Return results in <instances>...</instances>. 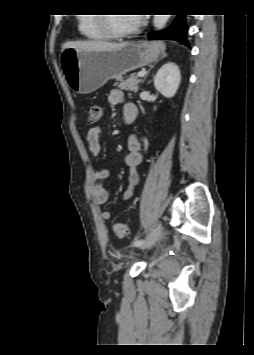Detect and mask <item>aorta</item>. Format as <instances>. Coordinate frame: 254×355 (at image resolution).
<instances>
[{
	"instance_id": "obj_1",
	"label": "aorta",
	"mask_w": 254,
	"mask_h": 355,
	"mask_svg": "<svg viewBox=\"0 0 254 355\" xmlns=\"http://www.w3.org/2000/svg\"><path fill=\"white\" fill-rule=\"evenodd\" d=\"M170 15H154L153 24L157 30H161L166 25Z\"/></svg>"
}]
</instances>
